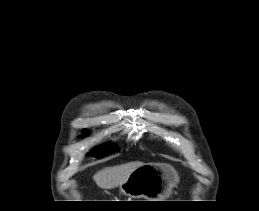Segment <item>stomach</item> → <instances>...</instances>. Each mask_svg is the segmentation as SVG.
I'll return each instance as SVG.
<instances>
[{
	"label": "stomach",
	"mask_w": 259,
	"mask_h": 211,
	"mask_svg": "<svg viewBox=\"0 0 259 211\" xmlns=\"http://www.w3.org/2000/svg\"><path fill=\"white\" fill-rule=\"evenodd\" d=\"M177 179L170 166L162 163L145 164L134 170L119 186V193L130 198L159 201L171 194Z\"/></svg>",
	"instance_id": "stomach-1"
}]
</instances>
